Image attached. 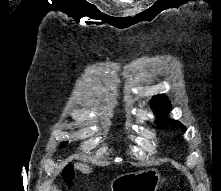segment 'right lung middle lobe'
Masks as SVG:
<instances>
[{"label":"right lung middle lobe","instance_id":"right-lung-middle-lobe-1","mask_svg":"<svg viewBox=\"0 0 221 191\" xmlns=\"http://www.w3.org/2000/svg\"><path fill=\"white\" fill-rule=\"evenodd\" d=\"M65 144H66V143H63V144L61 145V147H64V146H65Z\"/></svg>","mask_w":221,"mask_h":191}]
</instances>
